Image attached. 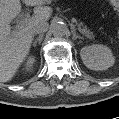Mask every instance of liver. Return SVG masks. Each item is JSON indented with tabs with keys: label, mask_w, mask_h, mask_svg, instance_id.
Returning a JSON list of instances; mask_svg holds the SVG:
<instances>
[{
	"label": "liver",
	"mask_w": 119,
	"mask_h": 119,
	"mask_svg": "<svg viewBox=\"0 0 119 119\" xmlns=\"http://www.w3.org/2000/svg\"><path fill=\"white\" fill-rule=\"evenodd\" d=\"M49 1L23 0L27 6H36L34 15L30 23L12 34L10 22L21 11L20 0H0V82L10 81L26 58L33 40L32 29L52 14L50 7L43 6Z\"/></svg>",
	"instance_id": "6515ba94"
}]
</instances>
